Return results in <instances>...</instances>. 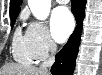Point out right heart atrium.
<instances>
[{"instance_id": "d8ad5b80", "label": "right heart atrium", "mask_w": 102, "mask_h": 75, "mask_svg": "<svg viewBox=\"0 0 102 75\" xmlns=\"http://www.w3.org/2000/svg\"><path fill=\"white\" fill-rule=\"evenodd\" d=\"M26 34L32 54L35 59L43 60L55 49L45 24L32 21L29 23Z\"/></svg>"}]
</instances>
